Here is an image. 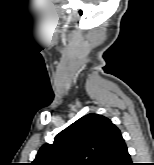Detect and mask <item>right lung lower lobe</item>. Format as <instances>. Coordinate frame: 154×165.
<instances>
[{
  "label": "right lung lower lobe",
  "instance_id": "98d812e1",
  "mask_svg": "<svg viewBox=\"0 0 154 165\" xmlns=\"http://www.w3.org/2000/svg\"><path fill=\"white\" fill-rule=\"evenodd\" d=\"M102 165H133L122 136L114 142L111 153Z\"/></svg>",
  "mask_w": 154,
  "mask_h": 165
}]
</instances>
